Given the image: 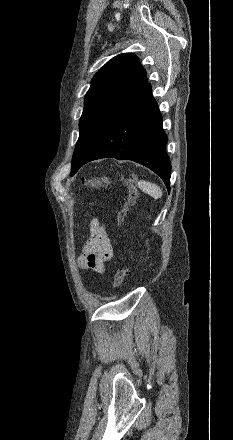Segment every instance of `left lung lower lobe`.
<instances>
[{
    "mask_svg": "<svg viewBox=\"0 0 233 440\" xmlns=\"http://www.w3.org/2000/svg\"><path fill=\"white\" fill-rule=\"evenodd\" d=\"M168 138L162 116L147 84L114 118L99 142L77 170L89 161L113 157L132 160L158 174L169 191L171 163L165 151Z\"/></svg>",
    "mask_w": 233,
    "mask_h": 440,
    "instance_id": "left-lung-lower-lobe-1",
    "label": "left lung lower lobe"
}]
</instances>
